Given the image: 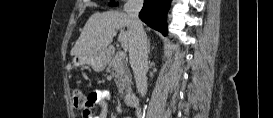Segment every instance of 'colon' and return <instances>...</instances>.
Returning <instances> with one entry per match:
<instances>
[{"instance_id": "1", "label": "colon", "mask_w": 273, "mask_h": 118, "mask_svg": "<svg viewBox=\"0 0 273 118\" xmlns=\"http://www.w3.org/2000/svg\"><path fill=\"white\" fill-rule=\"evenodd\" d=\"M73 105L76 109H85L87 106V99L83 95V93L79 90H75L73 92Z\"/></svg>"}]
</instances>
